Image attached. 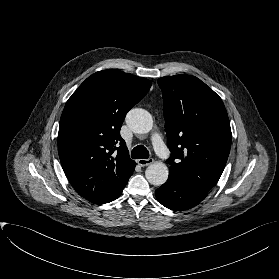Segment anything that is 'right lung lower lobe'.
<instances>
[{
  "mask_svg": "<svg viewBox=\"0 0 279 279\" xmlns=\"http://www.w3.org/2000/svg\"><path fill=\"white\" fill-rule=\"evenodd\" d=\"M124 187H125V186H124ZM124 187H123V188H124ZM123 188H122L116 195H114V196L111 197L109 200L105 201L104 203H108V202H111V201L117 199V198L120 196V194L122 193ZM102 204H103V203H102Z\"/></svg>",
  "mask_w": 279,
  "mask_h": 279,
  "instance_id": "1",
  "label": "right lung lower lobe"
}]
</instances>
